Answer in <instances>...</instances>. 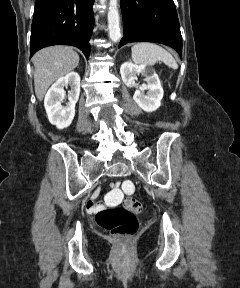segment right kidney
I'll list each match as a JSON object with an SVG mask.
<instances>
[{
  "mask_svg": "<svg viewBox=\"0 0 240 288\" xmlns=\"http://www.w3.org/2000/svg\"><path fill=\"white\" fill-rule=\"evenodd\" d=\"M71 87L66 106L61 105L65 98L64 87ZM80 94V76L76 72H70L65 77L59 78L48 90L44 99V106L51 124L58 129L68 127L75 116V105Z\"/></svg>",
  "mask_w": 240,
  "mask_h": 288,
  "instance_id": "1",
  "label": "right kidney"
}]
</instances>
